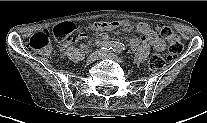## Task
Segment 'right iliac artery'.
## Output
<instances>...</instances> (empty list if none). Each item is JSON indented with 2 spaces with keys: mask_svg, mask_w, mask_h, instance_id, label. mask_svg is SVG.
<instances>
[{
  "mask_svg": "<svg viewBox=\"0 0 207 123\" xmlns=\"http://www.w3.org/2000/svg\"><path fill=\"white\" fill-rule=\"evenodd\" d=\"M116 42L115 43H111V42H106L104 44L99 45L101 50H111L114 48Z\"/></svg>",
  "mask_w": 207,
  "mask_h": 123,
  "instance_id": "right-iliac-artery-1",
  "label": "right iliac artery"
}]
</instances>
